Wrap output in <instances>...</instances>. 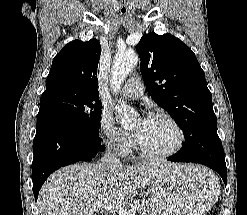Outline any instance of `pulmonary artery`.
<instances>
[{"instance_id":"obj_1","label":"pulmonary artery","mask_w":247,"mask_h":215,"mask_svg":"<svg viewBox=\"0 0 247 215\" xmlns=\"http://www.w3.org/2000/svg\"><path fill=\"white\" fill-rule=\"evenodd\" d=\"M122 93L124 96L132 98V99H139L144 94L143 84L139 77H131L129 78L123 88Z\"/></svg>"}]
</instances>
